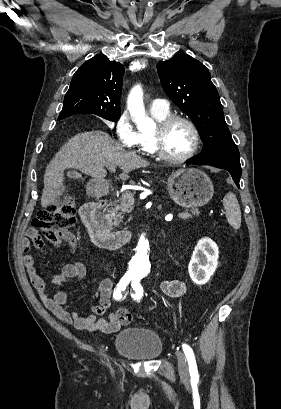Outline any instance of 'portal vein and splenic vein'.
Masks as SVG:
<instances>
[{"label": "portal vein and splenic vein", "mask_w": 281, "mask_h": 409, "mask_svg": "<svg viewBox=\"0 0 281 409\" xmlns=\"http://www.w3.org/2000/svg\"><path fill=\"white\" fill-rule=\"evenodd\" d=\"M133 201H134V198L132 196H126L124 204H125L126 207L129 208V207L133 206ZM190 216H191L190 212H182V213H180V215H178V217H181V219H188V217H190Z\"/></svg>", "instance_id": "18ae733b"}]
</instances>
